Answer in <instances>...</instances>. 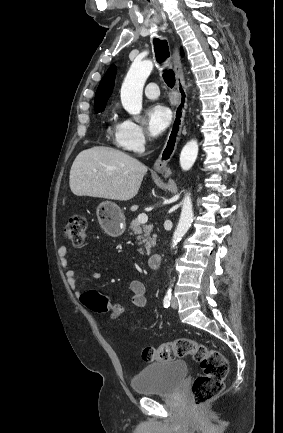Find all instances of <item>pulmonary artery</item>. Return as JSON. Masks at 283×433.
<instances>
[{
	"instance_id": "1",
	"label": "pulmonary artery",
	"mask_w": 283,
	"mask_h": 433,
	"mask_svg": "<svg viewBox=\"0 0 283 433\" xmlns=\"http://www.w3.org/2000/svg\"><path fill=\"white\" fill-rule=\"evenodd\" d=\"M144 91L146 97L149 99H156L160 95V90L156 88V83L154 82L146 83Z\"/></svg>"
}]
</instances>
